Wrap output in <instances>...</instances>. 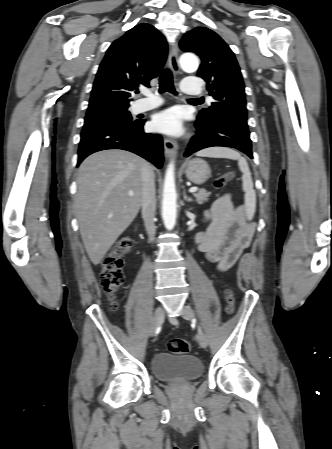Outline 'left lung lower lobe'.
Segmentation results:
<instances>
[{
    "mask_svg": "<svg viewBox=\"0 0 332 449\" xmlns=\"http://www.w3.org/2000/svg\"><path fill=\"white\" fill-rule=\"evenodd\" d=\"M194 135L184 153V157L208 147L223 146L236 148L252 156V142L247 120L241 118H223L209 124H195Z\"/></svg>",
    "mask_w": 332,
    "mask_h": 449,
    "instance_id": "0a47b994",
    "label": "left lung lower lobe"
}]
</instances>
